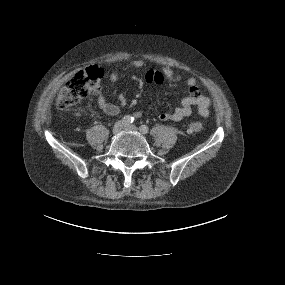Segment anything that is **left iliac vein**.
Segmentation results:
<instances>
[{"mask_svg":"<svg viewBox=\"0 0 285 285\" xmlns=\"http://www.w3.org/2000/svg\"><path fill=\"white\" fill-rule=\"evenodd\" d=\"M127 131H137V128L134 125L126 124L124 127Z\"/></svg>","mask_w":285,"mask_h":285,"instance_id":"1","label":"left iliac vein"}]
</instances>
